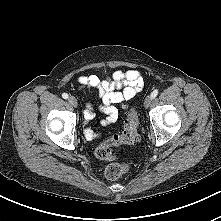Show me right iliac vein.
Segmentation results:
<instances>
[{"label": "right iliac vein", "instance_id": "1", "mask_svg": "<svg viewBox=\"0 0 221 221\" xmlns=\"http://www.w3.org/2000/svg\"><path fill=\"white\" fill-rule=\"evenodd\" d=\"M69 103L73 106V107H77L78 106V101L74 96H70L68 98Z\"/></svg>", "mask_w": 221, "mask_h": 221}]
</instances>
